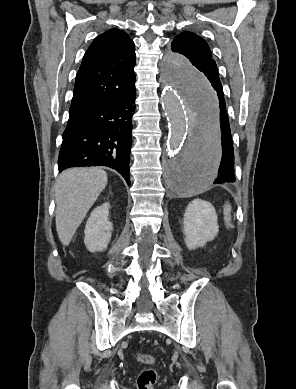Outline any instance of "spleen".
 <instances>
[{
    "instance_id": "1",
    "label": "spleen",
    "mask_w": 296,
    "mask_h": 389,
    "mask_svg": "<svg viewBox=\"0 0 296 389\" xmlns=\"http://www.w3.org/2000/svg\"><path fill=\"white\" fill-rule=\"evenodd\" d=\"M224 220L227 226L230 225L231 222V206L230 204H226L224 207Z\"/></svg>"
}]
</instances>
